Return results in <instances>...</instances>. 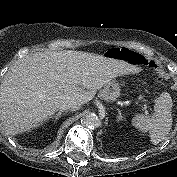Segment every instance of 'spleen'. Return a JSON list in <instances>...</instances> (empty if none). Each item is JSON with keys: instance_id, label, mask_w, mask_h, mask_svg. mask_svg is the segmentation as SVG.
I'll return each instance as SVG.
<instances>
[{"instance_id": "3e777b00", "label": "spleen", "mask_w": 177, "mask_h": 177, "mask_svg": "<svg viewBox=\"0 0 177 177\" xmlns=\"http://www.w3.org/2000/svg\"><path fill=\"white\" fill-rule=\"evenodd\" d=\"M172 105L169 93L163 92L155 100L153 115H136L132 119V125L142 132H149L151 143L157 145L165 139L171 130L173 123Z\"/></svg>"}]
</instances>
